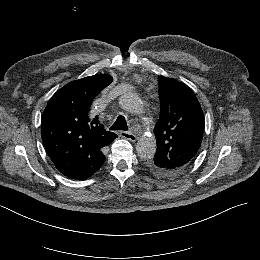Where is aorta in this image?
<instances>
[{
    "mask_svg": "<svg viewBox=\"0 0 260 260\" xmlns=\"http://www.w3.org/2000/svg\"><path fill=\"white\" fill-rule=\"evenodd\" d=\"M121 108L133 114L143 112V102L140 97L133 92H126L119 98ZM136 151L140 158H152L156 152V139L154 136H142L137 144Z\"/></svg>",
    "mask_w": 260,
    "mask_h": 260,
    "instance_id": "1",
    "label": "aorta"
}]
</instances>
